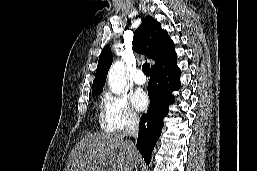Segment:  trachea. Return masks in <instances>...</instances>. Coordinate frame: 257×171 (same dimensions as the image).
<instances>
[{
	"label": "trachea",
	"instance_id": "1",
	"mask_svg": "<svg viewBox=\"0 0 257 171\" xmlns=\"http://www.w3.org/2000/svg\"><path fill=\"white\" fill-rule=\"evenodd\" d=\"M142 70H143L144 74L149 77L150 64L147 61L142 65Z\"/></svg>",
	"mask_w": 257,
	"mask_h": 171
}]
</instances>
